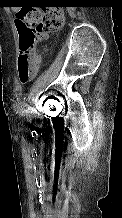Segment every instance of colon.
I'll return each instance as SVG.
<instances>
[{"label":"colon","mask_w":122,"mask_h":218,"mask_svg":"<svg viewBox=\"0 0 122 218\" xmlns=\"http://www.w3.org/2000/svg\"><path fill=\"white\" fill-rule=\"evenodd\" d=\"M62 23L63 14L59 7H29L17 11L16 24L20 39L18 73L21 83H28L36 74L39 64L35 53L37 43L56 32Z\"/></svg>","instance_id":"1"}]
</instances>
